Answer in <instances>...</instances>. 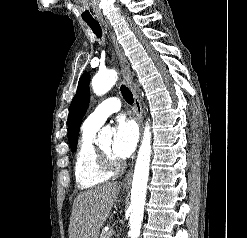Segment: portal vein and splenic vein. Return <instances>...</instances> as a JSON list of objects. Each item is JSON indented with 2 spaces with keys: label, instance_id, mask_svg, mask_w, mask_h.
I'll return each instance as SVG.
<instances>
[{
  "label": "portal vein and splenic vein",
  "instance_id": "obj_1",
  "mask_svg": "<svg viewBox=\"0 0 247 238\" xmlns=\"http://www.w3.org/2000/svg\"><path fill=\"white\" fill-rule=\"evenodd\" d=\"M110 233H111V235H113L114 234V230H110Z\"/></svg>",
  "mask_w": 247,
  "mask_h": 238
}]
</instances>
